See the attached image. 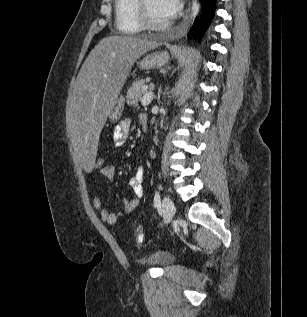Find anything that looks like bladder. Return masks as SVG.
Wrapping results in <instances>:
<instances>
[{
  "label": "bladder",
  "mask_w": 307,
  "mask_h": 317,
  "mask_svg": "<svg viewBox=\"0 0 307 317\" xmlns=\"http://www.w3.org/2000/svg\"><path fill=\"white\" fill-rule=\"evenodd\" d=\"M140 262L145 265L168 266L174 262V256L168 252L157 251L142 257Z\"/></svg>",
  "instance_id": "1"
}]
</instances>
